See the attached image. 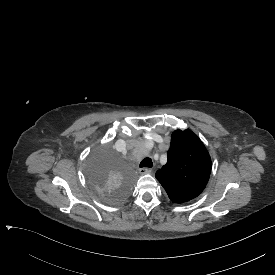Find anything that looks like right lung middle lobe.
I'll use <instances>...</instances> for the list:
<instances>
[{
	"label": "right lung middle lobe",
	"instance_id": "obj_1",
	"mask_svg": "<svg viewBox=\"0 0 275 275\" xmlns=\"http://www.w3.org/2000/svg\"><path fill=\"white\" fill-rule=\"evenodd\" d=\"M87 178L97 198L107 205L120 203L133 188V173L126 157L106 144L94 148Z\"/></svg>",
	"mask_w": 275,
	"mask_h": 275
}]
</instances>
